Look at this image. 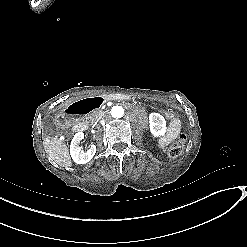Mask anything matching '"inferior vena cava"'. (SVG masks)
Returning a JSON list of instances; mask_svg holds the SVG:
<instances>
[{"label": "inferior vena cava", "instance_id": "1", "mask_svg": "<svg viewBox=\"0 0 247 247\" xmlns=\"http://www.w3.org/2000/svg\"><path fill=\"white\" fill-rule=\"evenodd\" d=\"M104 115H106V113H104V114L102 115V117H103Z\"/></svg>", "mask_w": 247, "mask_h": 247}]
</instances>
